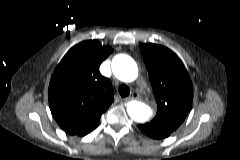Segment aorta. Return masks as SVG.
Here are the masks:
<instances>
[{
	"label": "aorta",
	"instance_id": "762f6f07",
	"mask_svg": "<svg viewBox=\"0 0 240 160\" xmlns=\"http://www.w3.org/2000/svg\"><path fill=\"white\" fill-rule=\"evenodd\" d=\"M113 74L123 82H132L137 78L136 62L128 55L119 54L112 60ZM127 113L135 122H146L152 115L149 106L142 102L131 101L127 104Z\"/></svg>",
	"mask_w": 240,
	"mask_h": 160
}]
</instances>
